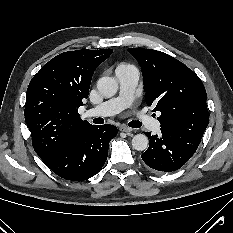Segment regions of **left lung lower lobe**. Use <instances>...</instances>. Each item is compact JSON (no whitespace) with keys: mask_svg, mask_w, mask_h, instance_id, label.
<instances>
[{"mask_svg":"<svg viewBox=\"0 0 233 233\" xmlns=\"http://www.w3.org/2000/svg\"><path fill=\"white\" fill-rule=\"evenodd\" d=\"M149 147L141 155L143 161L152 169L171 172L182 167L195 153L201 139L191 134L161 127V135L145 133Z\"/></svg>","mask_w":233,"mask_h":233,"instance_id":"obj_1","label":"left lung lower lobe"}]
</instances>
